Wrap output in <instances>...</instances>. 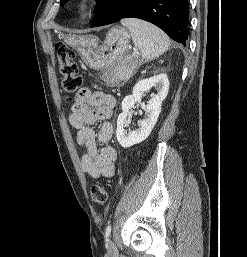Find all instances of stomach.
<instances>
[{"label": "stomach", "mask_w": 247, "mask_h": 257, "mask_svg": "<svg viewBox=\"0 0 247 257\" xmlns=\"http://www.w3.org/2000/svg\"><path fill=\"white\" fill-rule=\"evenodd\" d=\"M130 36L125 28H112L104 41L94 35L66 37L65 42L74 47L84 63L92 69H104L115 64L114 81L125 80L134 71L138 57L128 54Z\"/></svg>", "instance_id": "obj_1"}]
</instances>
